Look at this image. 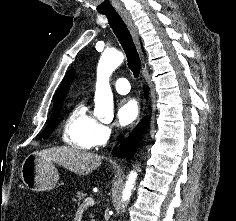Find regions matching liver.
<instances>
[{
  "label": "liver",
  "mask_w": 236,
  "mask_h": 221,
  "mask_svg": "<svg viewBox=\"0 0 236 221\" xmlns=\"http://www.w3.org/2000/svg\"><path fill=\"white\" fill-rule=\"evenodd\" d=\"M78 175H88L101 164L102 157L71 146L52 147L37 152Z\"/></svg>",
  "instance_id": "1"
}]
</instances>
